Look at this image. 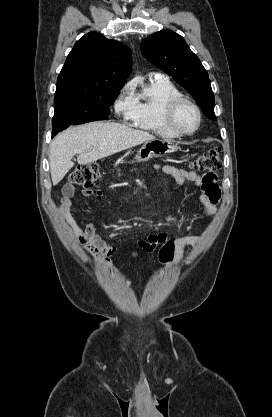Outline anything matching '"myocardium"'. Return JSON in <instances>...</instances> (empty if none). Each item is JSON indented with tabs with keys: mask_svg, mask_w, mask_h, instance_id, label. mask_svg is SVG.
<instances>
[{
	"mask_svg": "<svg viewBox=\"0 0 272 417\" xmlns=\"http://www.w3.org/2000/svg\"><path fill=\"white\" fill-rule=\"evenodd\" d=\"M189 105L191 106L197 114V125L191 131H183L179 129L176 125L175 118L177 111L182 105ZM164 123L166 127L176 136H191L198 131L202 123V113L199 106L190 98L185 97L183 95L174 97L168 101L165 106L164 110Z\"/></svg>",
	"mask_w": 272,
	"mask_h": 417,
	"instance_id": "1",
	"label": "myocardium"
}]
</instances>
